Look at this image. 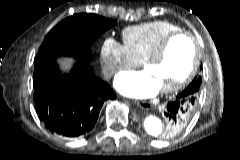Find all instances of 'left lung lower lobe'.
I'll use <instances>...</instances> for the list:
<instances>
[{
    "label": "left lung lower lobe",
    "mask_w": 240,
    "mask_h": 160,
    "mask_svg": "<svg viewBox=\"0 0 240 160\" xmlns=\"http://www.w3.org/2000/svg\"><path fill=\"white\" fill-rule=\"evenodd\" d=\"M198 92L196 84H190L184 91L177 95L174 101L169 102L164 110V115L167 117L172 128L175 130L182 125L186 120L183 113L188 111L194 112L197 103Z\"/></svg>",
    "instance_id": "left-lung-lower-lobe-1"
}]
</instances>
